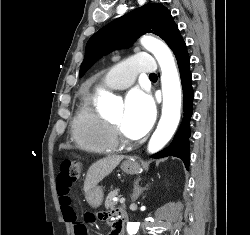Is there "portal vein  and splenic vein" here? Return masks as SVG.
<instances>
[{
  "label": "portal vein and splenic vein",
  "mask_w": 250,
  "mask_h": 235,
  "mask_svg": "<svg viewBox=\"0 0 250 235\" xmlns=\"http://www.w3.org/2000/svg\"><path fill=\"white\" fill-rule=\"evenodd\" d=\"M115 201H118V199H115ZM119 202L121 203V204H123L124 202H125V198H121L120 200H119Z\"/></svg>",
  "instance_id": "18ae733b"
}]
</instances>
